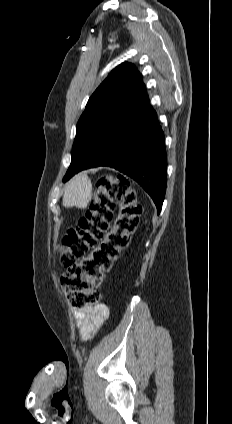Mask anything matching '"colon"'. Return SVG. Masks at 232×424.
Listing matches in <instances>:
<instances>
[{
	"mask_svg": "<svg viewBox=\"0 0 232 424\" xmlns=\"http://www.w3.org/2000/svg\"><path fill=\"white\" fill-rule=\"evenodd\" d=\"M141 214L138 194L126 181L112 175L96 179L89 208L64 236L60 252L61 284L72 307L85 310L98 303V286L128 246Z\"/></svg>",
	"mask_w": 232,
	"mask_h": 424,
	"instance_id": "colon-1",
	"label": "colon"
}]
</instances>
